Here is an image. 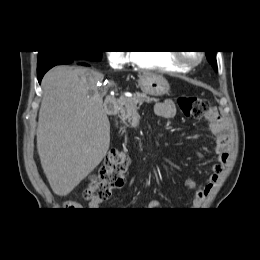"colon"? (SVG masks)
I'll list each match as a JSON object with an SVG mask.
<instances>
[{"label": "colon", "mask_w": 260, "mask_h": 260, "mask_svg": "<svg viewBox=\"0 0 260 260\" xmlns=\"http://www.w3.org/2000/svg\"><path fill=\"white\" fill-rule=\"evenodd\" d=\"M177 103L183 114L191 118H205L208 115H216L217 112L209 102L201 97L181 96ZM128 158L120 152H112L108 155L101 171L91 177L83 192L86 200L107 199L114 189L121 188L125 184V173L128 169ZM66 209L81 210V204L76 201H67Z\"/></svg>", "instance_id": "5ec220e1"}]
</instances>
